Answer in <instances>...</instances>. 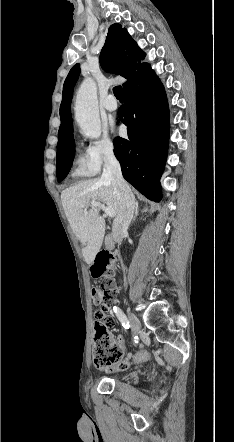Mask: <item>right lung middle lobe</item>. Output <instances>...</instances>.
<instances>
[{
    "label": "right lung middle lobe",
    "instance_id": "obj_1",
    "mask_svg": "<svg viewBox=\"0 0 234 442\" xmlns=\"http://www.w3.org/2000/svg\"><path fill=\"white\" fill-rule=\"evenodd\" d=\"M73 136L62 146L57 147L56 164L58 182L62 181L71 168L75 156Z\"/></svg>",
    "mask_w": 234,
    "mask_h": 442
}]
</instances>
